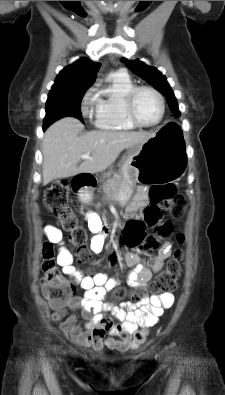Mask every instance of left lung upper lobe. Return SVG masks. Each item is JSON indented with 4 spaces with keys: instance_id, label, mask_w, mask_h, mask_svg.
<instances>
[{
    "instance_id": "5c2ea615",
    "label": "left lung upper lobe",
    "mask_w": 225,
    "mask_h": 395,
    "mask_svg": "<svg viewBox=\"0 0 225 395\" xmlns=\"http://www.w3.org/2000/svg\"><path fill=\"white\" fill-rule=\"evenodd\" d=\"M125 61V65L135 74L142 77L144 80L149 82L156 90L161 92L167 99L170 110L175 116H180V111L178 109L177 100L174 93L168 84L164 75L161 74L156 68L150 67L145 63L134 60L128 61L127 59H122Z\"/></svg>"
}]
</instances>
